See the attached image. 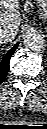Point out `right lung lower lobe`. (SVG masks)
Masks as SVG:
<instances>
[{
    "label": "right lung lower lobe",
    "instance_id": "obj_1",
    "mask_svg": "<svg viewBox=\"0 0 47 129\" xmlns=\"http://www.w3.org/2000/svg\"><path fill=\"white\" fill-rule=\"evenodd\" d=\"M18 47V43L15 44L11 48V50L6 54L3 60L0 62V83L3 82L4 78L6 77L8 70H9V61L13 53L15 52L16 48Z\"/></svg>",
    "mask_w": 47,
    "mask_h": 129
}]
</instances>
